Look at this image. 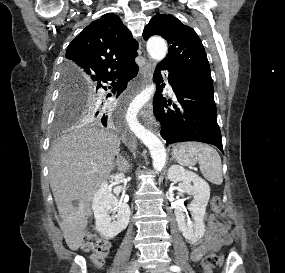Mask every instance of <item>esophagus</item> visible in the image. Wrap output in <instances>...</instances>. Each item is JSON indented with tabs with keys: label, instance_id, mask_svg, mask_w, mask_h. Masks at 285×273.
I'll list each match as a JSON object with an SVG mask.
<instances>
[{
	"label": "esophagus",
	"instance_id": "1",
	"mask_svg": "<svg viewBox=\"0 0 285 273\" xmlns=\"http://www.w3.org/2000/svg\"><path fill=\"white\" fill-rule=\"evenodd\" d=\"M141 74V85L146 86L152 78V66L150 62H147L140 70ZM152 103H148L144 110L141 112V117L144 124L148 127L152 124Z\"/></svg>",
	"mask_w": 285,
	"mask_h": 273
}]
</instances>
